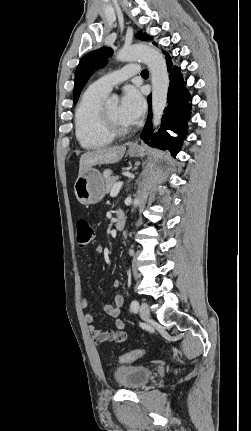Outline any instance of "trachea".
Returning a JSON list of instances; mask_svg holds the SVG:
<instances>
[{"instance_id": "1", "label": "trachea", "mask_w": 251, "mask_h": 431, "mask_svg": "<svg viewBox=\"0 0 251 431\" xmlns=\"http://www.w3.org/2000/svg\"><path fill=\"white\" fill-rule=\"evenodd\" d=\"M141 75L143 76V75H148V70H143L142 72H141Z\"/></svg>"}]
</instances>
